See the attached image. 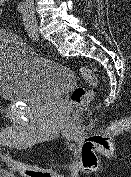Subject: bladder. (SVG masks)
Masks as SVG:
<instances>
[{
    "mask_svg": "<svg viewBox=\"0 0 131 177\" xmlns=\"http://www.w3.org/2000/svg\"><path fill=\"white\" fill-rule=\"evenodd\" d=\"M74 72L34 52L12 31H0V99L27 103L59 95L75 84Z\"/></svg>",
    "mask_w": 131,
    "mask_h": 177,
    "instance_id": "obj_1",
    "label": "bladder"
}]
</instances>
